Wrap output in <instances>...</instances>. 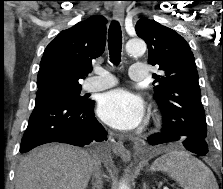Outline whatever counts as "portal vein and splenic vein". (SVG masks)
Segmentation results:
<instances>
[{
	"mask_svg": "<svg viewBox=\"0 0 223 189\" xmlns=\"http://www.w3.org/2000/svg\"><path fill=\"white\" fill-rule=\"evenodd\" d=\"M164 189H169L168 187H164Z\"/></svg>",
	"mask_w": 223,
	"mask_h": 189,
	"instance_id": "18ae733b",
	"label": "portal vein and splenic vein"
}]
</instances>
